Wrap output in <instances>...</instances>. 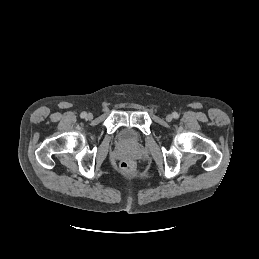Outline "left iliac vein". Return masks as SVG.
Instances as JSON below:
<instances>
[{
	"label": "left iliac vein",
	"mask_w": 259,
	"mask_h": 259,
	"mask_svg": "<svg viewBox=\"0 0 259 259\" xmlns=\"http://www.w3.org/2000/svg\"><path fill=\"white\" fill-rule=\"evenodd\" d=\"M172 119H173V116L172 115H167L166 116V120L168 121V122H170V121H172Z\"/></svg>",
	"instance_id": "1"
}]
</instances>
